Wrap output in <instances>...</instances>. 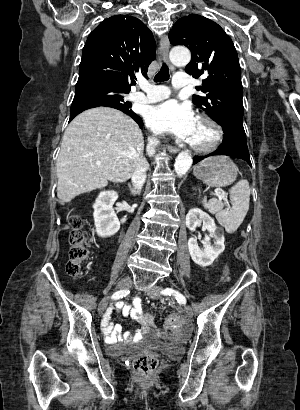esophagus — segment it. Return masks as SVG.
Returning a JSON list of instances; mask_svg holds the SVG:
<instances>
[{
    "label": "esophagus",
    "mask_w": 300,
    "mask_h": 410,
    "mask_svg": "<svg viewBox=\"0 0 300 410\" xmlns=\"http://www.w3.org/2000/svg\"><path fill=\"white\" fill-rule=\"evenodd\" d=\"M160 45H161V53H162L163 59L169 64L170 68L173 70L174 67L169 63V58H168L170 42H169L167 35H163L161 37ZM168 149H169V152L171 153H177L179 151V148L174 147V146H169Z\"/></svg>",
    "instance_id": "34e87169"
}]
</instances>
